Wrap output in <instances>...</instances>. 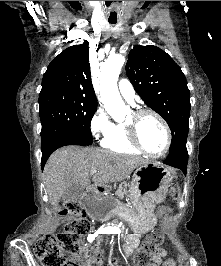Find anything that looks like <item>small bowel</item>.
<instances>
[{
	"label": "small bowel",
	"mask_w": 221,
	"mask_h": 266,
	"mask_svg": "<svg viewBox=\"0 0 221 266\" xmlns=\"http://www.w3.org/2000/svg\"><path fill=\"white\" fill-rule=\"evenodd\" d=\"M162 211L168 213L171 211L169 207H163ZM104 230V229H102ZM96 232H92L88 235V237H93ZM89 241V240H88ZM90 242V241H89ZM140 242V234L138 233H131L129 234L124 243H123V254L126 257H131L134 250L138 247ZM101 243V239L97 238L95 244L90 246L88 254L84 257L80 256H73L70 259L76 262L77 266H101L100 259L96 256L97 249ZM168 251L160 248L154 255H153V264L151 266H167V262L171 261L172 259H166ZM173 261V260H172ZM174 262V261H173ZM110 266H120L119 262L113 258L110 260ZM175 266V264H174Z\"/></svg>",
	"instance_id": "1"
}]
</instances>
